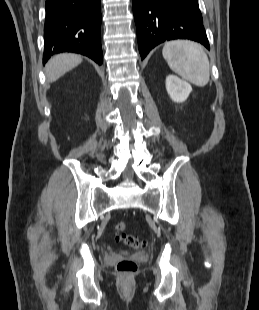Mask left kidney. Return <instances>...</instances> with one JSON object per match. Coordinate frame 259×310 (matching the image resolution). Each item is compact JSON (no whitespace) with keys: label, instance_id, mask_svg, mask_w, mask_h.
Returning a JSON list of instances; mask_svg holds the SVG:
<instances>
[{"label":"left kidney","instance_id":"obj_1","mask_svg":"<svg viewBox=\"0 0 259 310\" xmlns=\"http://www.w3.org/2000/svg\"><path fill=\"white\" fill-rule=\"evenodd\" d=\"M166 90L170 98L177 103L184 102L192 91V87L175 75L166 77Z\"/></svg>","mask_w":259,"mask_h":310}]
</instances>
